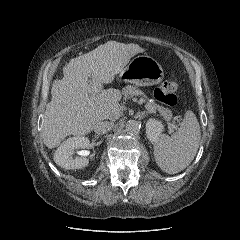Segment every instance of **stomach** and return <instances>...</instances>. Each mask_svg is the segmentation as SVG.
Segmentation results:
<instances>
[{
	"label": "stomach",
	"mask_w": 240,
	"mask_h": 240,
	"mask_svg": "<svg viewBox=\"0 0 240 240\" xmlns=\"http://www.w3.org/2000/svg\"><path fill=\"white\" fill-rule=\"evenodd\" d=\"M119 77L138 86H152L163 80L164 71L154 58L140 55L130 61Z\"/></svg>",
	"instance_id": "obj_1"
}]
</instances>
